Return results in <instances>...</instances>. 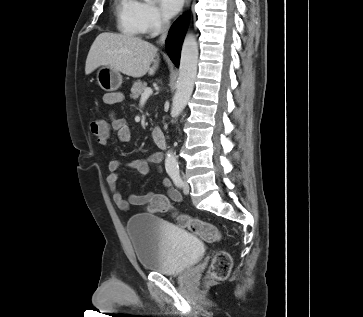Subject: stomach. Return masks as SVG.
I'll return each instance as SVG.
<instances>
[{"label": "stomach", "instance_id": "stomach-1", "mask_svg": "<svg viewBox=\"0 0 363 317\" xmlns=\"http://www.w3.org/2000/svg\"><path fill=\"white\" fill-rule=\"evenodd\" d=\"M97 82L105 91H115L122 84V76L119 71L109 66H102L97 71Z\"/></svg>", "mask_w": 363, "mask_h": 317}]
</instances>
